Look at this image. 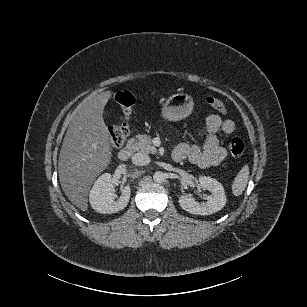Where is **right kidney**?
I'll list each match as a JSON object with an SVG mask.
<instances>
[{"label": "right kidney", "instance_id": "1", "mask_svg": "<svg viewBox=\"0 0 307 307\" xmlns=\"http://www.w3.org/2000/svg\"><path fill=\"white\" fill-rule=\"evenodd\" d=\"M121 196L114 201L116 194L111 184V174H102L94 183L90 194L89 201L92 208L102 214H112L124 209L130 199V186L121 189Z\"/></svg>", "mask_w": 307, "mask_h": 307}]
</instances>
